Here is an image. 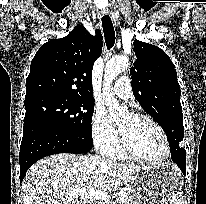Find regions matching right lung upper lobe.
Masks as SVG:
<instances>
[{
	"label": "right lung upper lobe",
	"instance_id": "obj_1",
	"mask_svg": "<svg viewBox=\"0 0 206 204\" xmlns=\"http://www.w3.org/2000/svg\"><path fill=\"white\" fill-rule=\"evenodd\" d=\"M77 25L66 37L43 44L26 79L25 99L38 95L93 98L92 69L102 51V35Z\"/></svg>",
	"mask_w": 206,
	"mask_h": 204
}]
</instances>
